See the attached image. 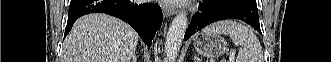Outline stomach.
Returning a JSON list of instances; mask_svg holds the SVG:
<instances>
[{
  "instance_id": "stomach-1",
  "label": "stomach",
  "mask_w": 331,
  "mask_h": 62,
  "mask_svg": "<svg viewBox=\"0 0 331 62\" xmlns=\"http://www.w3.org/2000/svg\"><path fill=\"white\" fill-rule=\"evenodd\" d=\"M196 52L206 57H219L227 49V43L220 34L198 33L193 38Z\"/></svg>"
}]
</instances>
